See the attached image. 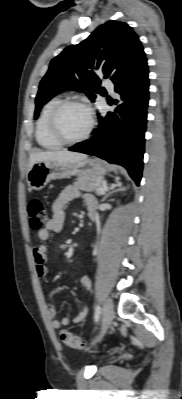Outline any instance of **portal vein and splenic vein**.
Listing matches in <instances>:
<instances>
[{
    "label": "portal vein and splenic vein",
    "mask_w": 182,
    "mask_h": 399,
    "mask_svg": "<svg viewBox=\"0 0 182 399\" xmlns=\"http://www.w3.org/2000/svg\"><path fill=\"white\" fill-rule=\"evenodd\" d=\"M106 190H107V187H106L105 182H104V185L102 187L98 188V192L100 194H104Z\"/></svg>",
    "instance_id": "1"
}]
</instances>
